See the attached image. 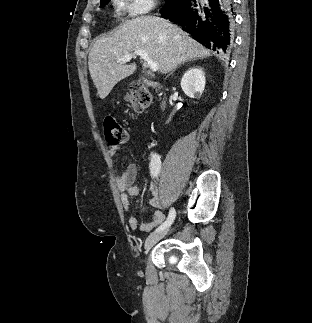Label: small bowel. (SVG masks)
I'll return each instance as SVG.
<instances>
[{"mask_svg":"<svg viewBox=\"0 0 312 323\" xmlns=\"http://www.w3.org/2000/svg\"><path fill=\"white\" fill-rule=\"evenodd\" d=\"M111 156L116 154V149L111 148L109 150ZM137 176V167L134 164L127 165L120 175L116 179L118 189L122 192L120 200L123 209L126 212H130V200L129 197H136L139 195V188L135 185V179ZM149 204L156 208L152 216L141 222L136 215L129 217L128 223L131 229L140 231H150L154 227L160 225L164 220V212L158 195V188L154 183L149 185Z\"/></svg>","mask_w":312,"mask_h":323,"instance_id":"c3829d8e","label":"small bowel"}]
</instances>
